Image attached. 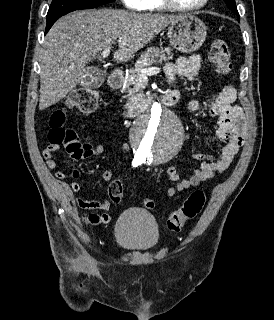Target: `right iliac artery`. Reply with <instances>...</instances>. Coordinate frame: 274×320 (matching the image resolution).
<instances>
[{
    "label": "right iliac artery",
    "instance_id": "1",
    "mask_svg": "<svg viewBox=\"0 0 274 320\" xmlns=\"http://www.w3.org/2000/svg\"><path fill=\"white\" fill-rule=\"evenodd\" d=\"M141 163H142L141 160L134 159L132 164H133L134 167H136V166L140 165Z\"/></svg>",
    "mask_w": 274,
    "mask_h": 320
}]
</instances>
